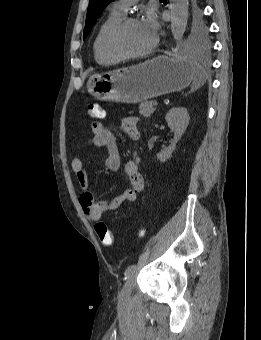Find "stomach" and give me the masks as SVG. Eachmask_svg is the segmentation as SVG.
<instances>
[{
	"mask_svg": "<svg viewBox=\"0 0 261 340\" xmlns=\"http://www.w3.org/2000/svg\"><path fill=\"white\" fill-rule=\"evenodd\" d=\"M195 70L184 58L161 55L138 65L95 74L89 78L87 89L99 100L139 103L186 88Z\"/></svg>",
	"mask_w": 261,
	"mask_h": 340,
	"instance_id": "stomach-1",
	"label": "stomach"
}]
</instances>
